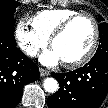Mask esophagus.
<instances>
[{
    "label": "esophagus",
    "instance_id": "obj_1",
    "mask_svg": "<svg viewBox=\"0 0 108 108\" xmlns=\"http://www.w3.org/2000/svg\"><path fill=\"white\" fill-rule=\"evenodd\" d=\"M39 71H40V75H41L42 77L48 76V75L50 74V72H49L48 70H45V69H43V68H40Z\"/></svg>",
    "mask_w": 108,
    "mask_h": 108
}]
</instances>
